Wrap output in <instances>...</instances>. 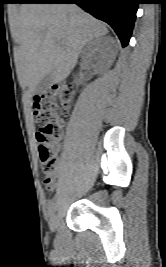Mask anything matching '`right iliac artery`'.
Segmentation results:
<instances>
[{
  "mask_svg": "<svg viewBox=\"0 0 166 267\" xmlns=\"http://www.w3.org/2000/svg\"><path fill=\"white\" fill-rule=\"evenodd\" d=\"M54 211H55V203L52 201L49 204V210H48L49 216H53Z\"/></svg>",
  "mask_w": 166,
  "mask_h": 267,
  "instance_id": "right-iliac-artery-1",
  "label": "right iliac artery"
}]
</instances>
